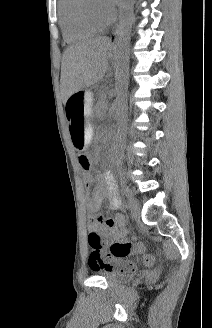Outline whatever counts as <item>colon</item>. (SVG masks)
<instances>
[{"mask_svg":"<svg viewBox=\"0 0 212 328\" xmlns=\"http://www.w3.org/2000/svg\"><path fill=\"white\" fill-rule=\"evenodd\" d=\"M80 170H92V160L90 153H80L78 157ZM88 243L92 249L89 256V265L96 266L99 269L109 270L114 267L113 258H126L134 253H140L144 250V245L140 242H132L126 239H118L111 244L110 253L102 250L100 235L91 231L88 235ZM145 265H152L155 257L145 255L142 258Z\"/></svg>","mask_w":212,"mask_h":328,"instance_id":"5ec220e1","label":"colon"}]
</instances>
